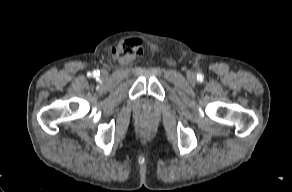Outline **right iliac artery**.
Here are the masks:
<instances>
[{
  "label": "right iliac artery",
  "mask_w": 292,
  "mask_h": 192,
  "mask_svg": "<svg viewBox=\"0 0 292 192\" xmlns=\"http://www.w3.org/2000/svg\"><path fill=\"white\" fill-rule=\"evenodd\" d=\"M94 74L95 75H99V71H94Z\"/></svg>",
  "instance_id": "82829eb1"
}]
</instances>
